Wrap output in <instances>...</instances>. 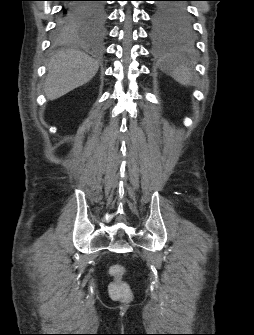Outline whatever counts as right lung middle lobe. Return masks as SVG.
I'll return each mask as SVG.
<instances>
[{"instance_id": "1", "label": "right lung middle lobe", "mask_w": 254, "mask_h": 335, "mask_svg": "<svg viewBox=\"0 0 254 335\" xmlns=\"http://www.w3.org/2000/svg\"><path fill=\"white\" fill-rule=\"evenodd\" d=\"M98 11L99 21L93 26V28L90 31H82L79 29V21L76 20L74 24L68 29L61 32L54 33V38L56 40H66L69 38H72L74 36L79 35H90V34H102L104 31V23H105V10H104V3L102 2H94L92 4Z\"/></svg>"}]
</instances>
